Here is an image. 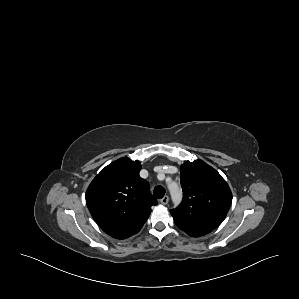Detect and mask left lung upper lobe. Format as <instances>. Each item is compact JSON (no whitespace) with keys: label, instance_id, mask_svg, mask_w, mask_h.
I'll use <instances>...</instances> for the list:
<instances>
[{"label":"left lung upper lobe","instance_id":"obj_1","mask_svg":"<svg viewBox=\"0 0 299 299\" xmlns=\"http://www.w3.org/2000/svg\"><path fill=\"white\" fill-rule=\"evenodd\" d=\"M182 203L170 210L175 224L189 236L199 237L217 228L227 215L232 193L221 175L202 160L181 166Z\"/></svg>","mask_w":299,"mask_h":299}]
</instances>
